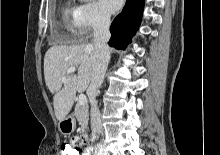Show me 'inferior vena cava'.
I'll return each mask as SVG.
<instances>
[{
	"label": "inferior vena cava",
	"mask_w": 220,
	"mask_h": 155,
	"mask_svg": "<svg viewBox=\"0 0 220 155\" xmlns=\"http://www.w3.org/2000/svg\"><path fill=\"white\" fill-rule=\"evenodd\" d=\"M109 27V14L101 13L98 16L97 22L94 26L92 75L89 87L87 89L89 102L91 104L90 115L93 139L96 138V136L103 133L100 112L97 107L96 96L98 94V89L103 83L108 62L110 59V51L107 44L110 38Z\"/></svg>",
	"instance_id": "1"
}]
</instances>
